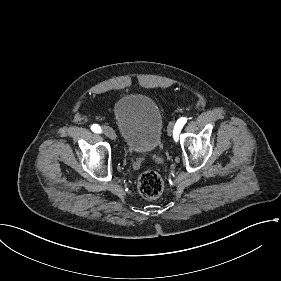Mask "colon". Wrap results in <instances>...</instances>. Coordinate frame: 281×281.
I'll return each instance as SVG.
<instances>
[{"mask_svg": "<svg viewBox=\"0 0 281 281\" xmlns=\"http://www.w3.org/2000/svg\"><path fill=\"white\" fill-rule=\"evenodd\" d=\"M137 187L144 197L154 199L163 192L165 184L158 172L148 170L139 177Z\"/></svg>", "mask_w": 281, "mask_h": 281, "instance_id": "5ec220e1", "label": "colon"}]
</instances>
